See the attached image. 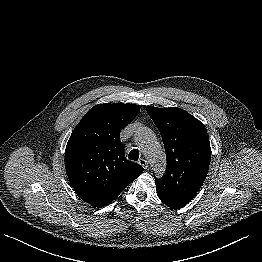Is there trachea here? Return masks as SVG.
I'll list each match as a JSON object with an SVG mask.
<instances>
[{
  "label": "trachea",
  "mask_w": 262,
  "mask_h": 262,
  "mask_svg": "<svg viewBox=\"0 0 262 262\" xmlns=\"http://www.w3.org/2000/svg\"><path fill=\"white\" fill-rule=\"evenodd\" d=\"M139 150L138 149H133L130 151L128 158L133 161H137L139 159Z\"/></svg>",
  "instance_id": "1"
}]
</instances>
